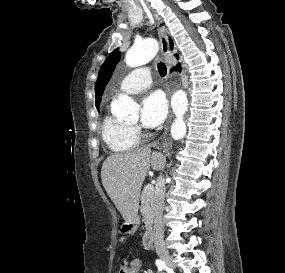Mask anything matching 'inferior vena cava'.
I'll return each mask as SVG.
<instances>
[{"mask_svg": "<svg viewBox=\"0 0 285 273\" xmlns=\"http://www.w3.org/2000/svg\"><path fill=\"white\" fill-rule=\"evenodd\" d=\"M165 198V181L162 176H159L156 184V191L153 202V214H154V245L158 254H167V250L164 243L163 235V223L162 213L164 208Z\"/></svg>", "mask_w": 285, "mask_h": 273, "instance_id": "inferior-vena-cava-1", "label": "inferior vena cava"}]
</instances>
